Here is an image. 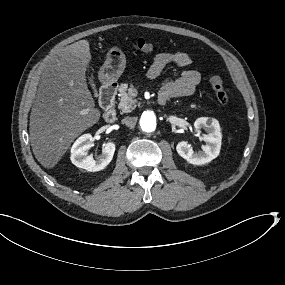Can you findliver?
Returning <instances> with one entry per match:
<instances>
[{"instance_id":"liver-1","label":"liver","mask_w":285,"mask_h":285,"mask_svg":"<svg viewBox=\"0 0 285 285\" xmlns=\"http://www.w3.org/2000/svg\"><path fill=\"white\" fill-rule=\"evenodd\" d=\"M91 59L89 41L80 40L47 61L29 122L32 152L45 169H54L75 139L101 118L86 78Z\"/></svg>"}]
</instances>
